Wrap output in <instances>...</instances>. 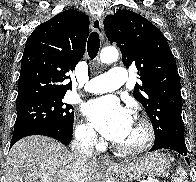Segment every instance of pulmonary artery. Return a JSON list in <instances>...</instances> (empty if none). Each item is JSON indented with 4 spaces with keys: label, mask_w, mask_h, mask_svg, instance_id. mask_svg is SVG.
<instances>
[{
    "label": "pulmonary artery",
    "mask_w": 196,
    "mask_h": 182,
    "mask_svg": "<svg viewBox=\"0 0 196 182\" xmlns=\"http://www.w3.org/2000/svg\"><path fill=\"white\" fill-rule=\"evenodd\" d=\"M127 80V72L121 67H112L108 73L92 78L85 86L89 93H106L122 87Z\"/></svg>",
    "instance_id": "e3ab8cb5"
}]
</instances>
